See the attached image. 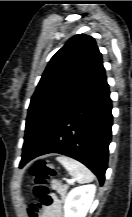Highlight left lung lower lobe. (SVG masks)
<instances>
[{
    "label": "left lung lower lobe",
    "instance_id": "obj_1",
    "mask_svg": "<svg viewBox=\"0 0 132 217\" xmlns=\"http://www.w3.org/2000/svg\"><path fill=\"white\" fill-rule=\"evenodd\" d=\"M112 104L105 69L59 116L41 142L30 153H23L20 168L35 157L59 153L86 165L99 179L105 180L108 146L111 141Z\"/></svg>",
    "mask_w": 132,
    "mask_h": 217
}]
</instances>
